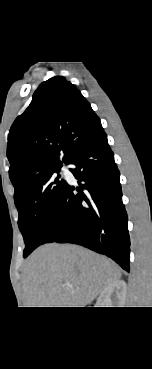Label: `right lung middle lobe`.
<instances>
[{"instance_id": "obj_1", "label": "right lung middle lobe", "mask_w": 152, "mask_h": 369, "mask_svg": "<svg viewBox=\"0 0 152 369\" xmlns=\"http://www.w3.org/2000/svg\"><path fill=\"white\" fill-rule=\"evenodd\" d=\"M62 165L37 175L14 197L19 212L18 225L24 237V258L41 245L49 233L67 182L59 173Z\"/></svg>"}]
</instances>
